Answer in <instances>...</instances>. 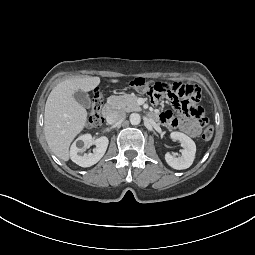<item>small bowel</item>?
Instances as JSON below:
<instances>
[{
  "label": "small bowel",
  "instance_id": "c3829d8e",
  "mask_svg": "<svg viewBox=\"0 0 255 255\" xmlns=\"http://www.w3.org/2000/svg\"><path fill=\"white\" fill-rule=\"evenodd\" d=\"M154 116L157 117L166 127L179 129L190 136L195 137L201 131V127L198 124L186 119L177 118L171 111L155 113Z\"/></svg>",
  "mask_w": 255,
  "mask_h": 255
}]
</instances>
